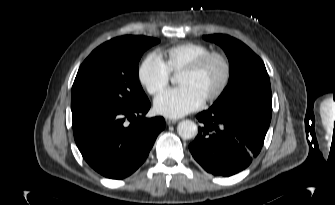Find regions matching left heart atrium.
I'll return each mask as SVG.
<instances>
[{"label": "left heart atrium", "instance_id": "1", "mask_svg": "<svg viewBox=\"0 0 335 205\" xmlns=\"http://www.w3.org/2000/svg\"><path fill=\"white\" fill-rule=\"evenodd\" d=\"M203 103V97L194 89L179 87L158 95L154 100V109L160 115L178 118L199 109Z\"/></svg>", "mask_w": 335, "mask_h": 205}]
</instances>
